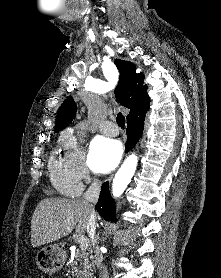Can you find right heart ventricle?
<instances>
[{"label": "right heart ventricle", "mask_w": 221, "mask_h": 278, "mask_svg": "<svg viewBox=\"0 0 221 278\" xmlns=\"http://www.w3.org/2000/svg\"><path fill=\"white\" fill-rule=\"evenodd\" d=\"M49 172L53 185L62 194L78 195L81 192V182L71 171L64 157L54 153L49 162Z\"/></svg>", "instance_id": "right-heart-ventricle-1"}]
</instances>
